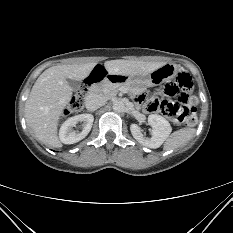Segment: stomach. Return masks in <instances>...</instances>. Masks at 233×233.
<instances>
[{
	"mask_svg": "<svg viewBox=\"0 0 233 233\" xmlns=\"http://www.w3.org/2000/svg\"><path fill=\"white\" fill-rule=\"evenodd\" d=\"M179 71V68L175 64H164L155 71L146 76L133 77L120 74L115 75L113 80L116 83L126 84L133 89H142L152 85H161L165 81L173 79Z\"/></svg>",
	"mask_w": 233,
	"mask_h": 233,
	"instance_id": "0dacf381",
	"label": "stomach"
}]
</instances>
